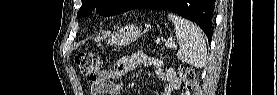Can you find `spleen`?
<instances>
[{"instance_id": "3e777b00", "label": "spleen", "mask_w": 277, "mask_h": 95, "mask_svg": "<svg viewBox=\"0 0 277 95\" xmlns=\"http://www.w3.org/2000/svg\"><path fill=\"white\" fill-rule=\"evenodd\" d=\"M168 18L175 26V33L180 45L177 57L197 68H202L206 62V43L200 29L192 22L177 15L169 14Z\"/></svg>"}]
</instances>
